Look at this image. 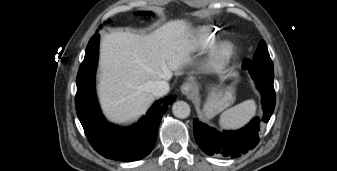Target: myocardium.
Listing matches in <instances>:
<instances>
[{
	"label": "myocardium",
	"instance_id": "f54148a6",
	"mask_svg": "<svg viewBox=\"0 0 337 171\" xmlns=\"http://www.w3.org/2000/svg\"><path fill=\"white\" fill-rule=\"evenodd\" d=\"M232 56V49L228 46H220L216 48L212 54V61L216 65H224Z\"/></svg>",
	"mask_w": 337,
	"mask_h": 171
}]
</instances>
